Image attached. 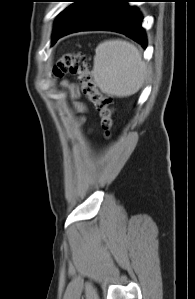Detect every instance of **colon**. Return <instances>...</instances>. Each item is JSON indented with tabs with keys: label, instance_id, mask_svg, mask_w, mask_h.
I'll use <instances>...</instances> for the list:
<instances>
[{
	"label": "colon",
	"instance_id": "5ec220e1",
	"mask_svg": "<svg viewBox=\"0 0 195 299\" xmlns=\"http://www.w3.org/2000/svg\"><path fill=\"white\" fill-rule=\"evenodd\" d=\"M67 73L75 76L83 94L98 113L102 128L108 134L114 119V100L98 88L88 58L83 52H66L60 57L54 66L53 74L59 78Z\"/></svg>",
	"mask_w": 195,
	"mask_h": 299
}]
</instances>
